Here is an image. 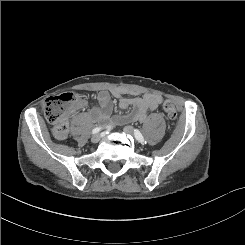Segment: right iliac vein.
<instances>
[{
    "label": "right iliac vein",
    "instance_id": "1",
    "mask_svg": "<svg viewBox=\"0 0 245 245\" xmlns=\"http://www.w3.org/2000/svg\"><path fill=\"white\" fill-rule=\"evenodd\" d=\"M99 140H100V135L99 134H95L91 138V142H93V143H97V142H99Z\"/></svg>",
    "mask_w": 245,
    "mask_h": 245
}]
</instances>
